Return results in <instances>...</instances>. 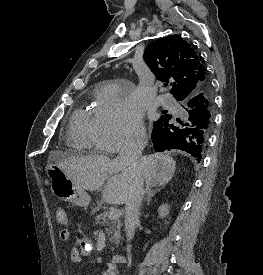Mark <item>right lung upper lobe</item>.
I'll return each instance as SVG.
<instances>
[{
	"instance_id": "right-lung-upper-lobe-1",
	"label": "right lung upper lobe",
	"mask_w": 263,
	"mask_h": 275,
	"mask_svg": "<svg viewBox=\"0 0 263 275\" xmlns=\"http://www.w3.org/2000/svg\"><path fill=\"white\" fill-rule=\"evenodd\" d=\"M144 59L158 80L173 85L171 93L176 99L196 93L204 83L209 82L196 51L179 35L166 36L150 43ZM212 121L213 103L209 124Z\"/></svg>"
}]
</instances>
